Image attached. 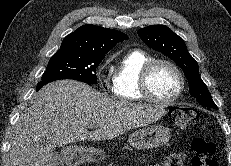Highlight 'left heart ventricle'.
Here are the masks:
<instances>
[{
  "mask_svg": "<svg viewBox=\"0 0 231 166\" xmlns=\"http://www.w3.org/2000/svg\"><path fill=\"white\" fill-rule=\"evenodd\" d=\"M178 86V77L169 66L159 64L151 72L149 87L155 97L168 99L174 95Z\"/></svg>",
  "mask_w": 231,
  "mask_h": 166,
  "instance_id": "b2bd125f",
  "label": "left heart ventricle"
}]
</instances>
